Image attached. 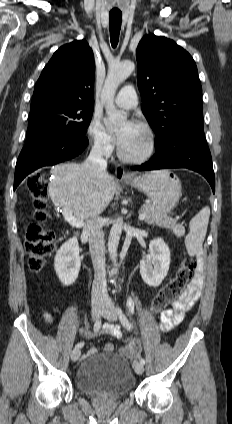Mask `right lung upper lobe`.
<instances>
[{
    "label": "right lung upper lobe",
    "instance_id": "right-lung-upper-lobe-1",
    "mask_svg": "<svg viewBox=\"0 0 232 424\" xmlns=\"http://www.w3.org/2000/svg\"><path fill=\"white\" fill-rule=\"evenodd\" d=\"M95 65L85 40L63 45L44 67L34 89L31 108L57 103L94 107Z\"/></svg>",
    "mask_w": 232,
    "mask_h": 424
}]
</instances>
